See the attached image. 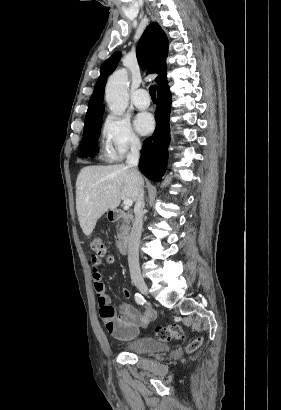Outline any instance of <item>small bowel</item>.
Listing matches in <instances>:
<instances>
[{
  "instance_id": "obj_1",
  "label": "small bowel",
  "mask_w": 281,
  "mask_h": 410,
  "mask_svg": "<svg viewBox=\"0 0 281 410\" xmlns=\"http://www.w3.org/2000/svg\"><path fill=\"white\" fill-rule=\"evenodd\" d=\"M92 277L94 280V290L97 296V304L100 308V314L104 322L111 321L112 328L109 330L112 337L118 340H132L139 332L141 327L147 326L155 318V312L148 308L145 312H141L138 308L130 304H122L120 306V315L116 316L114 308L111 306V300L106 292V287L102 282L101 265L102 259L98 256L91 258ZM124 297L129 298L131 292L127 288L122 289ZM103 310H112L113 317L107 318L103 314Z\"/></svg>"
}]
</instances>
